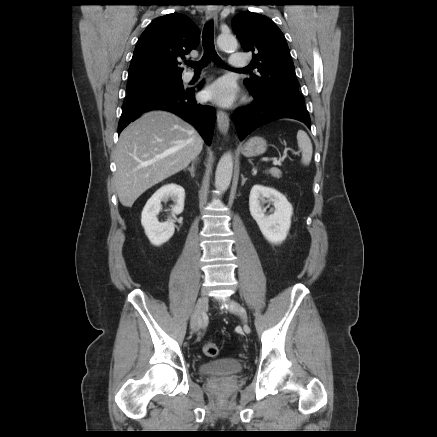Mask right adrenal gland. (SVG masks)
Returning a JSON list of instances; mask_svg holds the SVG:
<instances>
[{
  "label": "right adrenal gland",
  "instance_id": "right-adrenal-gland-1",
  "mask_svg": "<svg viewBox=\"0 0 437 437\" xmlns=\"http://www.w3.org/2000/svg\"><path fill=\"white\" fill-rule=\"evenodd\" d=\"M199 158H196L192 161L191 166L187 168V170L190 172L191 176L195 177V164L198 162ZM186 170V169H185Z\"/></svg>",
  "mask_w": 437,
  "mask_h": 437
}]
</instances>
